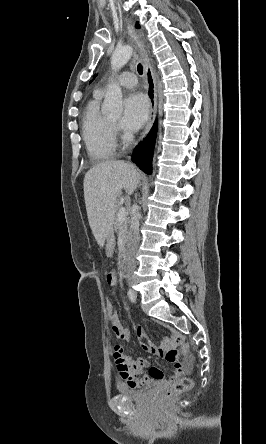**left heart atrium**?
Segmentation results:
<instances>
[{
	"label": "left heart atrium",
	"mask_w": 266,
	"mask_h": 444,
	"mask_svg": "<svg viewBox=\"0 0 266 444\" xmlns=\"http://www.w3.org/2000/svg\"><path fill=\"white\" fill-rule=\"evenodd\" d=\"M149 104L141 93H132L124 100V113L121 124L125 129L137 130L147 120Z\"/></svg>",
	"instance_id": "obj_1"
}]
</instances>
